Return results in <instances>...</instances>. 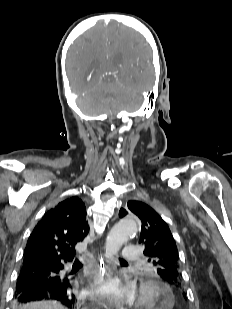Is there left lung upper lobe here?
I'll return each mask as SVG.
<instances>
[{"label": "left lung upper lobe", "instance_id": "left-lung-upper-lobe-1", "mask_svg": "<svg viewBox=\"0 0 232 309\" xmlns=\"http://www.w3.org/2000/svg\"><path fill=\"white\" fill-rule=\"evenodd\" d=\"M129 212L141 220L139 243L145 248L144 255L156 268L158 275L168 284L178 287L181 283L179 253L166 222L150 206L140 201H129ZM128 211L121 208L119 217ZM185 297V295H184Z\"/></svg>", "mask_w": 232, "mask_h": 309}]
</instances>
